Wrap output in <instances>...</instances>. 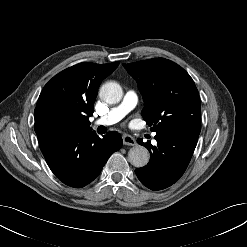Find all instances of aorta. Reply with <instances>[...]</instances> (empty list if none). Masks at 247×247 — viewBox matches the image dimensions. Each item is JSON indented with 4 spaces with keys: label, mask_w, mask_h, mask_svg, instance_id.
Masks as SVG:
<instances>
[{
    "label": "aorta",
    "mask_w": 247,
    "mask_h": 247,
    "mask_svg": "<svg viewBox=\"0 0 247 247\" xmlns=\"http://www.w3.org/2000/svg\"><path fill=\"white\" fill-rule=\"evenodd\" d=\"M99 96L107 104H116L122 99L123 90L118 83L107 82L101 86ZM149 159V151L144 146L136 145L128 152V160L135 167L147 165Z\"/></svg>",
    "instance_id": "aorta-1"
}]
</instances>
